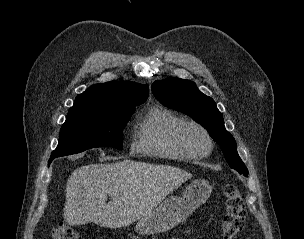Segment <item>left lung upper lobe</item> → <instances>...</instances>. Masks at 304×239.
I'll use <instances>...</instances> for the list:
<instances>
[{
	"mask_svg": "<svg viewBox=\"0 0 304 239\" xmlns=\"http://www.w3.org/2000/svg\"><path fill=\"white\" fill-rule=\"evenodd\" d=\"M152 92L162 104L189 115L206 128L220 145L229 166L247 177L248 170L237 153L235 139L226 131L212 98L201 93L194 82L179 78L155 81Z\"/></svg>",
	"mask_w": 304,
	"mask_h": 239,
	"instance_id": "1",
	"label": "left lung upper lobe"
}]
</instances>
